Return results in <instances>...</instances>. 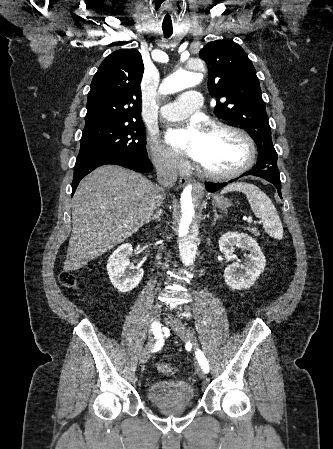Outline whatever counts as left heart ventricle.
Returning <instances> with one entry per match:
<instances>
[{"instance_id":"b2bd125f","label":"left heart ventricle","mask_w":333,"mask_h":449,"mask_svg":"<svg viewBox=\"0 0 333 449\" xmlns=\"http://www.w3.org/2000/svg\"><path fill=\"white\" fill-rule=\"evenodd\" d=\"M244 142L224 132H205L196 161L213 172H227L239 167L246 159Z\"/></svg>"}]
</instances>
